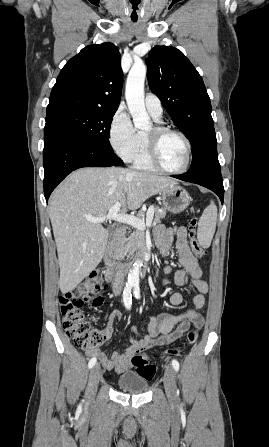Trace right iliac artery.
Returning <instances> with one entry per match:
<instances>
[{"label": "right iliac artery", "mask_w": 269, "mask_h": 447, "mask_svg": "<svg viewBox=\"0 0 269 447\" xmlns=\"http://www.w3.org/2000/svg\"><path fill=\"white\" fill-rule=\"evenodd\" d=\"M132 286H133L132 284H126V287L123 292V302L127 309H130L132 305V294H131ZM95 363L96 358L94 357L89 361L88 367L92 368L95 365Z\"/></svg>", "instance_id": "1"}]
</instances>
